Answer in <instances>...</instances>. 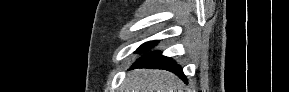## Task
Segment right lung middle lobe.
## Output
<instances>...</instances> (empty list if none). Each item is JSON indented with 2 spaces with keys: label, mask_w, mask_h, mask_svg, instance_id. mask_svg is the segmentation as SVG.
Returning a JSON list of instances; mask_svg holds the SVG:
<instances>
[{
  "label": "right lung middle lobe",
  "mask_w": 289,
  "mask_h": 92,
  "mask_svg": "<svg viewBox=\"0 0 289 92\" xmlns=\"http://www.w3.org/2000/svg\"><path fill=\"white\" fill-rule=\"evenodd\" d=\"M155 44H156V41L147 42V43L141 45V46L137 49V51H138V52H140V51H143V52H144V51H148L149 48L152 47V46H154ZM158 53H160V52H154V53L147 54V55H145V56H144L143 58H141V59H145V58L152 57V56H154V55H156V54H158Z\"/></svg>",
  "instance_id": "1"
}]
</instances>
